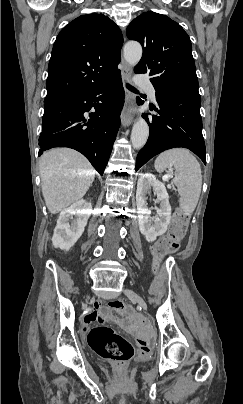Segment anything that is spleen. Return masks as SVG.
Listing matches in <instances>:
<instances>
[{
    "label": "spleen",
    "mask_w": 243,
    "mask_h": 404,
    "mask_svg": "<svg viewBox=\"0 0 243 404\" xmlns=\"http://www.w3.org/2000/svg\"><path fill=\"white\" fill-rule=\"evenodd\" d=\"M169 166H174L173 180L180 196L179 206L184 214L194 212L201 194L202 172L199 162L186 148H173L160 154L155 160L154 168L161 174Z\"/></svg>",
    "instance_id": "3e777b00"
}]
</instances>
